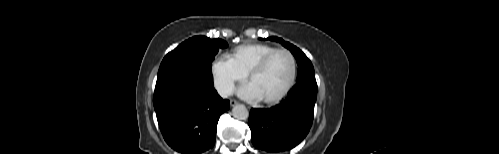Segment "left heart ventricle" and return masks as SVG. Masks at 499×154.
<instances>
[{"instance_id": "1", "label": "left heart ventricle", "mask_w": 499, "mask_h": 154, "mask_svg": "<svg viewBox=\"0 0 499 154\" xmlns=\"http://www.w3.org/2000/svg\"><path fill=\"white\" fill-rule=\"evenodd\" d=\"M291 61L286 54L275 55L267 66L258 74L252 76L250 82L255 86L261 99L278 95L289 81Z\"/></svg>"}]
</instances>
